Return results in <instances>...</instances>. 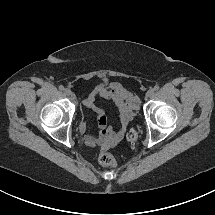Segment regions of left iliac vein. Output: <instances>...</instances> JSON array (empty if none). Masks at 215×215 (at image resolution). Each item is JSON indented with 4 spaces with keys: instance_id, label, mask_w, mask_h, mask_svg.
Instances as JSON below:
<instances>
[{
    "instance_id": "obj_1",
    "label": "left iliac vein",
    "mask_w": 215,
    "mask_h": 215,
    "mask_svg": "<svg viewBox=\"0 0 215 215\" xmlns=\"http://www.w3.org/2000/svg\"><path fill=\"white\" fill-rule=\"evenodd\" d=\"M153 94H154V90L150 89V90L147 91L146 96L151 97Z\"/></svg>"
}]
</instances>
